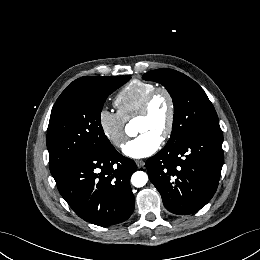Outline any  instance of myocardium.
<instances>
[{
    "label": "myocardium",
    "mask_w": 260,
    "mask_h": 260,
    "mask_svg": "<svg viewBox=\"0 0 260 260\" xmlns=\"http://www.w3.org/2000/svg\"><path fill=\"white\" fill-rule=\"evenodd\" d=\"M159 94L165 95L169 102L168 121H167V125L161 135V140L165 141L168 138H170V136L172 135L174 126H175V120H176L175 99H174V96L172 95V93L166 87L160 86V87H156L153 90H151L143 99V101L140 105L139 111L137 112L136 115H137V117L147 116L149 114L153 100Z\"/></svg>",
    "instance_id": "myocardium-1"
}]
</instances>
